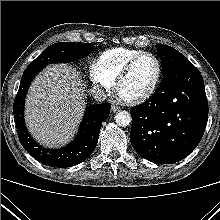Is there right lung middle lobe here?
Segmentation results:
<instances>
[{"label":"right lung middle lobe","mask_w":220,"mask_h":220,"mask_svg":"<svg viewBox=\"0 0 220 220\" xmlns=\"http://www.w3.org/2000/svg\"><path fill=\"white\" fill-rule=\"evenodd\" d=\"M93 51L91 43L59 42L49 46L28 67L44 68L51 63H66L87 56Z\"/></svg>","instance_id":"dd1d6c3e"}]
</instances>
